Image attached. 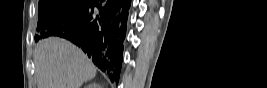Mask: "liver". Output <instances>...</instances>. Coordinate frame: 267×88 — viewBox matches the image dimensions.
<instances>
[{
    "mask_svg": "<svg viewBox=\"0 0 267 88\" xmlns=\"http://www.w3.org/2000/svg\"><path fill=\"white\" fill-rule=\"evenodd\" d=\"M34 64L37 88H80L96 74L95 66L81 49L57 37L37 43Z\"/></svg>",
    "mask_w": 267,
    "mask_h": 88,
    "instance_id": "6515ba94",
    "label": "liver"
}]
</instances>
